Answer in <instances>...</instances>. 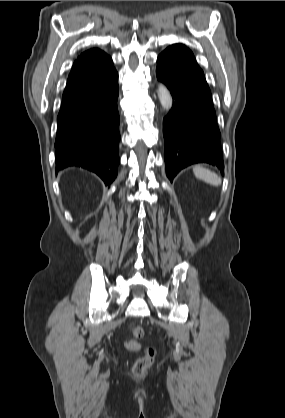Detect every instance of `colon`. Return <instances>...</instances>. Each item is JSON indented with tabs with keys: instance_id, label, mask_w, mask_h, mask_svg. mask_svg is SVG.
<instances>
[{
	"instance_id": "1",
	"label": "colon",
	"mask_w": 285,
	"mask_h": 418,
	"mask_svg": "<svg viewBox=\"0 0 285 418\" xmlns=\"http://www.w3.org/2000/svg\"><path fill=\"white\" fill-rule=\"evenodd\" d=\"M131 334L135 338L143 336L144 332L141 327L135 326L130 329ZM155 359V351L151 347H147L144 351V355L136 360L133 365V373L136 375H143L148 368L153 364Z\"/></svg>"
}]
</instances>
